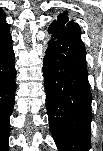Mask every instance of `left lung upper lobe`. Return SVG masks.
<instances>
[{"mask_svg":"<svg viewBox=\"0 0 103 151\" xmlns=\"http://www.w3.org/2000/svg\"><path fill=\"white\" fill-rule=\"evenodd\" d=\"M72 24H76L72 18L67 16V13L60 14L58 20L54 21L50 26L56 30H64L70 27Z\"/></svg>","mask_w":103,"mask_h":151,"instance_id":"5c2ea615","label":"left lung upper lobe"}]
</instances>
